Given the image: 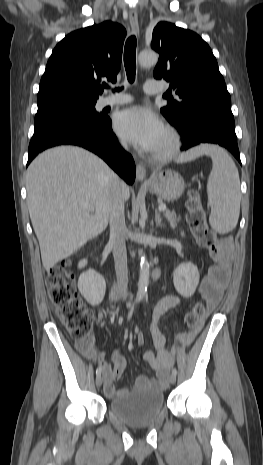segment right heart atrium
Returning a JSON list of instances; mask_svg holds the SVG:
<instances>
[{
  "label": "right heart atrium",
  "mask_w": 263,
  "mask_h": 465,
  "mask_svg": "<svg viewBox=\"0 0 263 465\" xmlns=\"http://www.w3.org/2000/svg\"><path fill=\"white\" fill-rule=\"evenodd\" d=\"M120 145H121L122 147H126V144H125V142H124V141H122V140H120Z\"/></svg>",
  "instance_id": "d8ad5b80"
}]
</instances>
